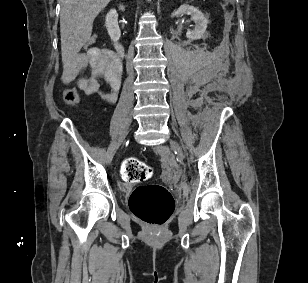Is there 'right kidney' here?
I'll use <instances>...</instances> for the list:
<instances>
[{
  "mask_svg": "<svg viewBox=\"0 0 308 283\" xmlns=\"http://www.w3.org/2000/svg\"><path fill=\"white\" fill-rule=\"evenodd\" d=\"M119 9L121 11L125 10L124 5H120ZM105 27L108 31L110 38L114 41H118L121 37L120 28L118 25V13L115 9H111L105 18Z\"/></svg>",
  "mask_w": 308,
  "mask_h": 283,
  "instance_id": "obj_1",
  "label": "right kidney"
}]
</instances>
